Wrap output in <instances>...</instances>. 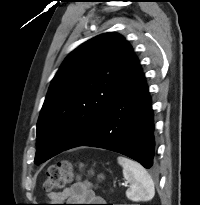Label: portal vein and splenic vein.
Returning <instances> with one entry per match:
<instances>
[{"mask_svg": "<svg viewBox=\"0 0 200 205\" xmlns=\"http://www.w3.org/2000/svg\"><path fill=\"white\" fill-rule=\"evenodd\" d=\"M122 186H127V183H121Z\"/></svg>", "mask_w": 200, "mask_h": 205, "instance_id": "portal-vein-and-splenic-vein-1", "label": "portal vein and splenic vein"}]
</instances>
